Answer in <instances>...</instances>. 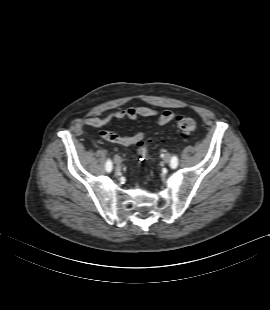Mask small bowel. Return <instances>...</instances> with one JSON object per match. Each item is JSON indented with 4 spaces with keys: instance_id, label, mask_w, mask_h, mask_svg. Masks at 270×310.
Listing matches in <instances>:
<instances>
[{
    "instance_id": "c3829d8e",
    "label": "small bowel",
    "mask_w": 270,
    "mask_h": 310,
    "mask_svg": "<svg viewBox=\"0 0 270 310\" xmlns=\"http://www.w3.org/2000/svg\"><path fill=\"white\" fill-rule=\"evenodd\" d=\"M157 116V124L165 125L174 120L175 114L170 110L158 111L148 106H129L123 109H116L104 116L90 117L85 120V124L94 128H101L108 124L112 119H129L137 121L139 118H149ZM99 137L108 142H112L121 146H132L140 142L144 134L140 131L132 136H122L110 131H100Z\"/></svg>"
}]
</instances>
